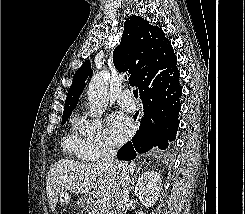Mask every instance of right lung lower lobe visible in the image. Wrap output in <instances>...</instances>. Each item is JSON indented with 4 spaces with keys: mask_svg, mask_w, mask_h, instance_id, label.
Here are the masks:
<instances>
[{
    "mask_svg": "<svg viewBox=\"0 0 245 214\" xmlns=\"http://www.w3.org/2000/svg\"><path fill=\"white\" fill-rule=\"evenodd\" d=\"M176 62L177 59L153 69L145 78L140 91L144 116L132 141L117 152L119 160H132L137 153L155 147L164 150L168 141L175 140L181 108L180 74Z\"/></svg>",
    "mask_w": 245,
    "mask_h": 214,
    "instance_id": "1",
    "label": "right lung lower lobe"
}]
</instances>
